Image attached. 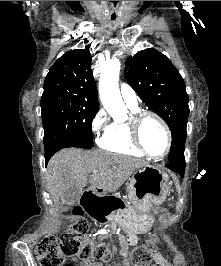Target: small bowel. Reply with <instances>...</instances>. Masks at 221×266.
Segmentation results:
<instances>
[{
  "instance_id": "obj_1",
  "label": "small bowel",
  "mask_w": 221,
  "mask_h": 266,
  "mask_svg": "<svg viewBox=\"0 0 221 266\" xmlns=\"http://www.w3.org/2000/svg\"><path fill=\"white\" fill-rule=\"evenodd\" d=\"M103 233H93V236ZM137 243V235L134 233L128 234L127 237L121 240V250L120 254L123 257V266H129L127 261V256L129 255L130 249ZM154 264L152 266H172L171 263L163 256L162 253L156 252L153 255ZM79 266H102L97 260H83L80 262Z\"/></svg>"
}]
</instances>
